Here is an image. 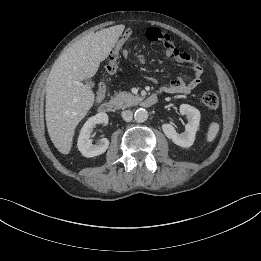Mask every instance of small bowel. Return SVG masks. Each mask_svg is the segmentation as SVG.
<instances>
[{"instance_id":"small-bowel-1","label":"small bowel","mask_w":261,"mask_h":261,"mask_svg":"<svg viewBox=\"0 0 261 261\" xmlns=\"http://www.w3.org/2000/svg\"><path fill=\"white\" fill-rule=\"evenodd\" d=\"M145 38L152 42H160L165 48L166 56L172 57L177 62L189 63L193 65V77L190 81H185L181 77L173 78L168 85L160 88L161 92L189 94L201 81L202 68L196 59L188 53L181 51L174 43L172 38L156 27H149L145 31ZM105 96V89L98 91L97 101L100 102Z\"/></svg>"}]
</instances>
